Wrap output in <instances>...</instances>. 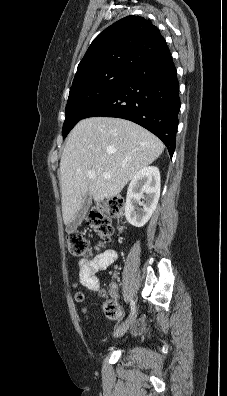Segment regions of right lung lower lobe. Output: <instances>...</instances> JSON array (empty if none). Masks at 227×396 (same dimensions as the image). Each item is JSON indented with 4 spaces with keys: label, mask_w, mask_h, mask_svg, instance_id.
<instances>
[{
    "label": "right lung lower lobe",
    "mask_w": 227,
    "mask_h": 396,
    "mask_svg": "<svg viewBox=\"0 0 227 396\" xmlns=\"http://www.w3.org/2000/svg\"><path fill=\"white\" fill-rule=\"evenodd\" d=\"M179 110L176 68L166 46L138 64L128 77L84 118L117 117L135 122L160 138L172 157Z\"/></svg>",
    "instance_id": "98d812e1"
}]
</instances>
